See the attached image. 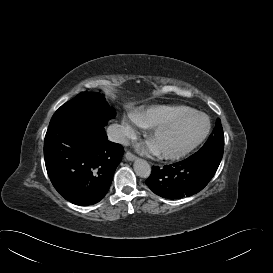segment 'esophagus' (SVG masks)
<instances>
[{"label":"esophagus","instance_id":"esophagus-1","mask_svg":"<svg viewBox=\"0 0 273 273\" xmlns=\"http://www.w3.org/2000/svg\"><path fill=\"white\" fill-rule=\"evenodd\" d=\"M136 158L137 157L129 151L125 153V159L128 161H134Z\"/></svg>","mask_w":273,"mask_h":273}]
</instances>
